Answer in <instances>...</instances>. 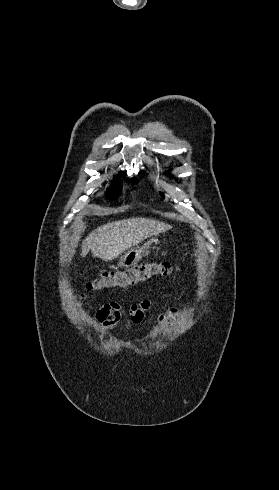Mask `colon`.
I'll use <instances>...</instances> for the list:
<instances>
[{"label": "colon", "mask_w": 279, "mask_h": 490, "mask_svg": "<svg viewBox=\"0 0 279 490\" xmlns=\"http://www.w3.org/2000/svg\"><path fill=\"white\" fill-rule=\"evenodd\" d=\"M176 267L169 262L148 261L136 265L128 270H110L88 285L89 292H100L107 289H126L139 285L155 276H169ZM86 300V295L81 301Z\"/></svg>", "instance_id": "colon-1"}]
</instances>
